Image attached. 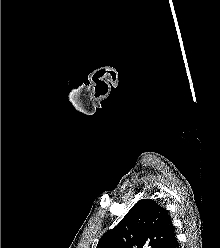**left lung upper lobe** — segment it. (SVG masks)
I'll return each instance as SVG.
<instances>
[{
  "instance_id": "5c2ea615",
  "label": "left lung upper lobe",
  "mask_w": 220,
  "mask_h": 248,
  "mask_svg": "<svg viewBox=\"0 0 220 248\" xmlns=\"http://www.w3.org/2000/svg\"><path fill=\"white\" fill-rule=\"evenodd\" d=\"M174 232L168 211L152 199L138 201L96 248H163Z\"/></svg>"
}]
</instances>
